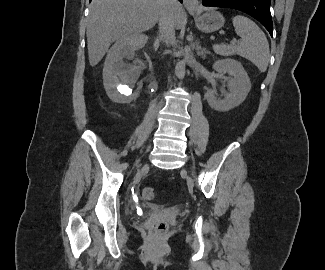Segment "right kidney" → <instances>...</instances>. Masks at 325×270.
Returning a JSON list of instances; mask_svg holds the SVG:
<instances>
[{"label":"right kidney","instance_id":"obj_1","mask_svg":"<svg viewBox=\"0 0 325 270\" xmlns=\"http://www.w3.org/2000/svg\"><path fill=\"white\" fill-rule=\"evenodd\" d=\"M147 39L140 35L135 40L117 41L109 50L103 68V82L113 102L129 103L138 97L145 81L144 73L151 70L137 52ZM135 86L136 89L132 90Z\"/></svg>","mask_w":325,"mask_h":270}]
</instances>
